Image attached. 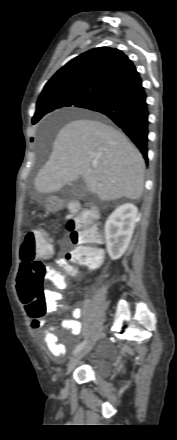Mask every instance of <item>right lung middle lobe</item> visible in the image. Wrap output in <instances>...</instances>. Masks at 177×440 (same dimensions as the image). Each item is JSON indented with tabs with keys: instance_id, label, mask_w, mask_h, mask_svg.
Masks as SVG:
<instances>
[{
	"instance_id": "right-lung-middle-lobe-1",
	"label": "right lung middle lobe",
	"mask_w": 177,
	"mask_h": 440,
	"mask_svg": "<svg viewBox=\"0 0 177 440\" xmlns=\"http://www.w3.org/2000/svg\"><path fill=\"white\" fill-rule=\"evenodd\" d=\"M103 97L98 93L88 92H62L55 96L37 104L36 113L32 119V123H37L47 113L64 108V107H80L86 108L98 99Z\"/></svg>"
}]
</instances>
